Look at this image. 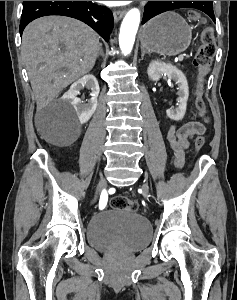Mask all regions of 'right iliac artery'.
Returning <instances> with one entry per match:
<instances>
[{
  "instance_id": "82829eb1",
  "label": "right iliac artery",
  "mask_w": 237,
  "mask_h": 300,
  "mask_svg": "<svg viewBox=\"0 0 237 300\" xmlns=\"http://www.w3.org/2000/svg\"><path fill=\"white\" fill-rule=\"evenodd\" d=\"M103 194V193H102ZM102 196V195H101ZM107 203V199H103L102 197H100V201H99V208H104L105 205Z\"/></svg>"
}]
</instances>
